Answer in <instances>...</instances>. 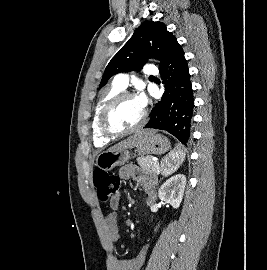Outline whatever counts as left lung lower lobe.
Returning a JSON list of instances; mask_svg holds the SVG:
<instances>
[{
    "label": "left lung lower lobe",
    "instance_id": "left-lung-lower-lobe-1",
    "mask_svg": "<svg viewBox=\"0 0 267 270\" xmlns=\"http://www.w3.org/2000/svg\"><path fill=\"white\" fill-rule=\"evenodd\" d=\"M165 92L161 101L151 111L144 128L165 130L175 136L181 147L187 146L191 137L193 117V90L183 49L177 42L160 67Z\"/></svg>",
    "mask_w": 267,
    "mask_h": 270
}]
</instances>
